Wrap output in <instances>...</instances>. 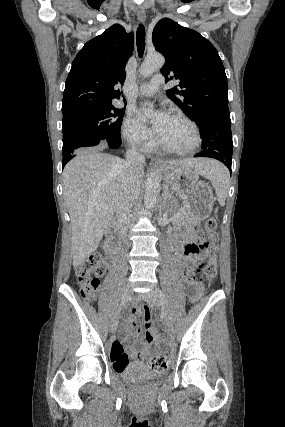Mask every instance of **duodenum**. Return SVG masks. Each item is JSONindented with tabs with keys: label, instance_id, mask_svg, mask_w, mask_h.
Instances as JSON below:
<instances>
[{
	"label": "duodenum",
	"instance_id": "410a0bca",
	"mask_svg": "<svg viewBox=\"0 0 285 427\" xmlns=\"http://www.w3.org/2000/svg\"><path fill=\"white\" fill-rule=\"evenodd\" d=\"M119 223H120V218H118V219L115 221L114 226H115V227H118V226H119ZM113 247H114V253H116V252L119 250V248H120V245H119V243H118V240H117V239H115V240H114V245H113Z\"/></svg>",
	"mask_w": 285,
	"mask_h": 427
}]
</instances>
